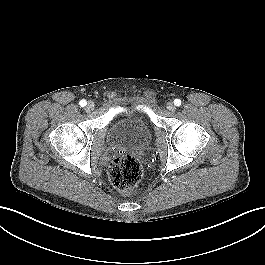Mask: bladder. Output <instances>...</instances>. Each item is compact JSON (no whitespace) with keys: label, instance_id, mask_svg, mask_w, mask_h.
<instances>
[{"label":"bladder","instance_id":"obj_1","mask_svg":"<svg viewBox=\"0 0 265 265\" xmlns=\"http://www.w3.org/2000/svg\"><path fill=\"white\" fill-rule=\"evenodd\" d=\"M109 134L117 144L124 147L142 148L152 138L147 118L138 111L113 122L109 127Z\"/></svg>","mask_w":265,"mask_h":265}]
</instances>
